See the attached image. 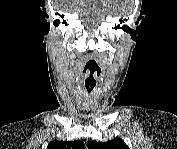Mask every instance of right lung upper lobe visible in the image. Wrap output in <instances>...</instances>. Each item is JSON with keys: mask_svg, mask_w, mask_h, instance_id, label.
I'll return each mask as SVG.
<instances>
[{"mask_svg": "<svg viewBox=\"0 0 177 149\" xmlns=\"http://www.w3.org/2000/svg\"><path fill=\"white\" fill-rule=\"evenodd\" d=\"M47 149H85L82 141H52L49 143Z\"/></svg>", "mask_w": 177, "mask_h": 149, "instance_id": "right-lung-upper-lobe-1", "label": "right lung upper lobe"}]
</instances>
